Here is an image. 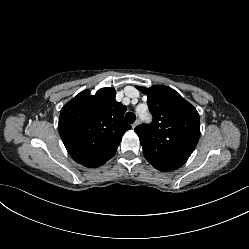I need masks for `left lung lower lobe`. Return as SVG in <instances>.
<instances>
[{
	"instance_id": "left-lung-lower-lobe-1",
	"label": "left lung lower lobe",
	"mask_w": 249,
	"mask_h": 249,
	"mask_svg": "<svg viewBox=\"0 0 249 249\" xmlns=\"http://www.w3.org/2000/svg\"><path fill=\"white\" fill-rule=\"evenodd\" d=\"M160 171H172L171 169H158Z\"/></svg>"
}]
</instances>
